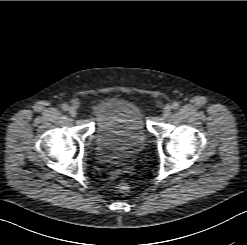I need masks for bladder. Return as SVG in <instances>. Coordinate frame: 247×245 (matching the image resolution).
<instances>
[{
	"label": "bladder",
	"instance_id": "31cf9c89",
	"mask_svg": "<svg viewBox=\"0 0 247 245\" xmlns=\"http://www.w3.org/2000/svg\"><path fill=\"white\" fill-rule=\"evenodd\" d=\"M147 142V128L141 108L134 102L107 98L98 107L94 151L101 160L133 155Z\"/></svg>",
	"mask_w": 247,
	"mask_h": 245
}]
</instances>
